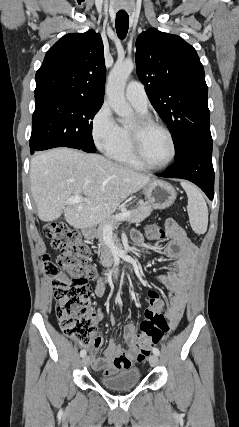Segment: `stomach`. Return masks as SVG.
Listing matches in <instances>:
<instances>
[{
	"label": "stomach",
	"mask_w": 239,
	"mask_h": 427,
	"mask_svg": "<svg viewBox=\"0 0 239 427\" xmlns=\"http://www.w3.org/2000/svg\"><path fill=\"white\" fill-rule=\"evenodd\" d=\"M143 193L153 208L166 209L170 207L176 199L175 189L167 182L162 180H152L143 188ZM96 231L88 228L84 231L86 238H93Z\"/></svg>",
	"instance_id": "obj_1"
}]
</instances>
